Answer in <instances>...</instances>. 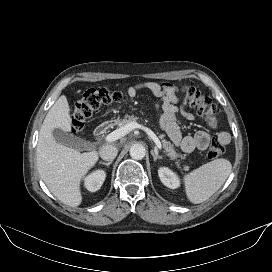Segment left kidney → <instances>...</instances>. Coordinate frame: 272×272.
<instances>
[{
  "label": "left kidney",
  "instance_id": "left-kidney-1",
  "mask_svg": "<svg viewBox=\"0 0 272 272\" xmlns=\"http://www.w3.org/2000/svg\"><path fill=\"white\" fill-rule=\"evenodd\" d=\"M158 174L161 182L170 189H176L180 186V180L176 173L167 167H160Z\"/></svg>",
  "mask_w": 272,
  "mask_h": 272
}]
</instances>
